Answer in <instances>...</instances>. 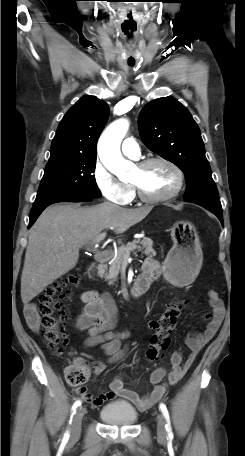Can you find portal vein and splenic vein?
<instances>
[{
    "label": "portal vein and splenic vein",
    "instance_id": "18ae733b",
    "mask_svg": "<svg viewBox=\"0 0 245 456\" xmlns=\"http://www.w3.org/2000/svg\"><path fill=\"white\" fill-rule=\"evenodd\" d=\"M106 236V233L103 232V233H100L99 235H97L94 239H93V243H99L100 241H102ZM137 246L133 247V249H135Z\"/></svg>",
    "mask_w": 245,
    "mask_h": 456
}]
</instances>
